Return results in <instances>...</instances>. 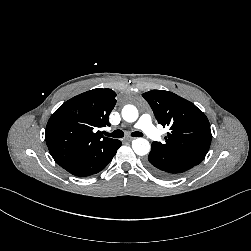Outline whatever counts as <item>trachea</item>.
Here are the masks:
<instances>
[{
	"label": "trachea",
	"mask_w": 251,
	"mask_h": 251,
	"mask_svg": "<svg viewBox=\"0 0 251 251\" xmlns=\"http://www.w3.org/2000/svg\"><path fill=\"white\" fill-rule=\"evenodd\" d=\"M106 136L113 137V138H122L124 136V133L122 130H115L112 133H105ZM131 136L133 137H142L143 134L141 132H132Z\"/></svg>",
	"instance_id": "3493384b"
}]
</instances>
